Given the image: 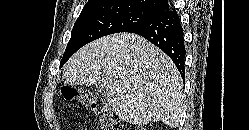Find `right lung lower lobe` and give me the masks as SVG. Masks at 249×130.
<instances>
[{
	"label": "right lung lower lobe",
	"mask_w": 249,
	"mask_h": 130,
	"mask_svg": "<svg viewBox=\"0 0 249 130\" xmlns=\"http://www.w3.org/2000/svg\"><path fill=\"white\" fill-rule=\"evenodd\" d=\"M126 32L143 36L164 51L175 63L182 78L185 77V45L183 28L175 10L130 28Z\"/></svg>",
	"instance_id": "right-lung-lower-lobe-1"
}]
</instances>
